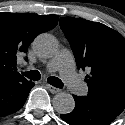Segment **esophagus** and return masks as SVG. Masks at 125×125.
I'll return each instance as SVG.
<instances>
[{"instance_id":"34e87169","label":"esophagus","mask_w":125,"mask_h":125,"mask_svg":"<svg viewBox=\"0 0 125 125\" xmlns=\"http://www.w3.org/2000/svg\"><path fill=\"white\" fill-rule=\"evenodd\" d=\"M46 87L48 88V90L52 93V94H56L58 92H60V89L50 85V84H47Z\"/></svg>"}]
</instances>
